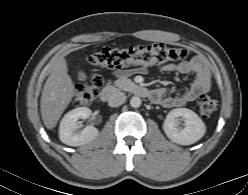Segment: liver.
<instances>
[{
  "instance_id": "6515ba94",
  "label": "liver",
  "mask_w": 248,
  "mask_h": 195,
  "mask_svg": "<svg viewBox=\"0 0 248 195\" xmlns=\"http://www.w3.org/2000/svg\"><path fill=\"white\" fill-rule=\"evenodd\" d=\"M74 96V84L63 57L51 66L40 100L41 116L47 129H53Z\"/></svg>"
}]
</instances>
